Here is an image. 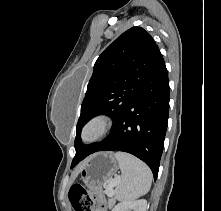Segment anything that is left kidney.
<instances>
[{"instance_id":"left-kidney-1","label":"left kidney","mask_w":221,"mask_h":211,"mask_svg":"<svg viewBox=\"0 0 221 211\" xmlns=\"http://www.w3.org/2000/svg\"><path fill=\"white\" fill-rule=\"evenodd\" d=\"M147 201L145 199L129 200L118 203L112 211H146Z\"/></svg>"}]
</instances>
